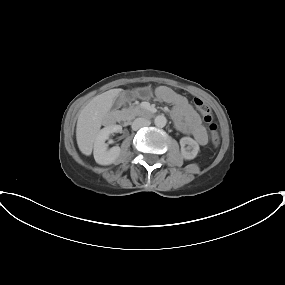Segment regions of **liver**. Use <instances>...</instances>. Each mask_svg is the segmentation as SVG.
<instances>
[{
  "label": "liver",
  "instance_id": "obj_1",
  "mask_svg": "<svg viewBox=\"0 0 285 285\" xmlns=\"http://www.w3.org/2000/svg\"><path fill=\"white\" fill-rule=\"evenodd\" d=\"M118 92L119 89H111L97 95L81 110L77 120L76 139L79 150L84 155H91L93 143Z\"/></svg>",
  "mask_w": 285,
  "mask_h": 285
}]
</instances>
